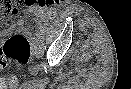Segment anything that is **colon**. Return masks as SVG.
I'll list each match as a JSON object with an SVG mask.
<instances>
[{"instance_id": "obj_1", "label": "colon", "mask_w": 131, "mask_h": 89, "mask_svg": "<svg viewBox=\"0 0 131 89\" xmlns=\"http://www.w3.org/2000/svg\"><path fill=\"white\" fill-rule=\"evenodd\" d=\"M8 2L0 1V14H15L17 9H13ZM31 54V45L28 39L21 34H14L6 38L0 45V70L7 65H14V73L10 76H0V88L15 87L18 76L22 72L23 66L28 62Z\"/></svg>"}]
</instances>
